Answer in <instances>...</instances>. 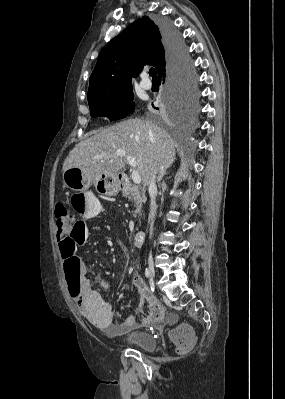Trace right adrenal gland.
Returning a JSON list of instances; mask_svg holds the SVG:
<instances>
[{
  "label": "right adrenal gland",
  "instance_id": "1",
  "mask_svg": "<svg viewBox=\"0 0 285 399\" xmlns=\"http://www.w3.org/2000/svg\"><path fill=\"white\" fill-rule=\"evenodd\" d=\"M167 169H168V167L165 168V169H162V170L160 171V173H159V175H158V179H157L158 182H160V181L162 180L163 176H165V175L168 174Z\"/></svg>",
  "mask_w": 285,
  "mask_h": 399
}]
</instances>
